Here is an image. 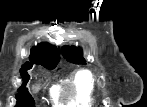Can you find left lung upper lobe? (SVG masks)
<instances>
[{"label": "left lung upper lobe", "instance_id": "1", "mask_svg": "<svg viewBox=\"0 0 147 107\" xmlns=\"http://www.w3.org/2000/svg\"><path fill=\"white\" fill-rule=\"evenodd\" d=\"M63 56L69 62H73L75 64H85L86 63V60L83 58L82 50L74 46H71V47L64 46Z\"/></svg>", "mask_w": 147, "mask_h": 107}]
</instances>
